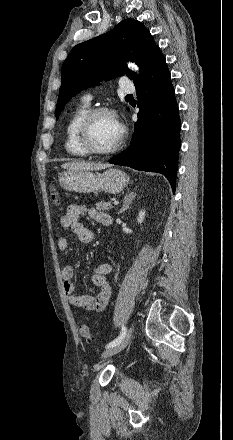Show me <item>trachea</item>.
<instances>
[{
	"instance_id": "trachea-1",
	"label": "trachea",
	"mask_w": 233,
	"mask_h": 440,
	"mask_svg": "<svg viewBox=\"0 0 233 440\" xmlns=\"http://www.w3.org/2000/svg\"><path fill=\"white\" fill-rule=\"evenodd\" d=\"M126 97H132V95L130 94V95H127Z\"/></svg>"
}]
</instances>
